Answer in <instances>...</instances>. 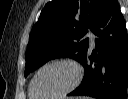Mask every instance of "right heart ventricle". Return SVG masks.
Segmentation results:
<instances>
[{
  "label": "right heart ventricle",
  "mask_w": 128,
  "mask_h": 99,
  "mask_svg": "<svg viewBox=\"0 0 128 99\" xmlns=\"http://www.w3.org/2000/svg\"><path fill=\"white\" fill-rule=\"evenodd\" d=\"M29 96H30V98H34V97H32V96L30 95V93H29Z\"/></svg>",
  "instance_id": "right-heart-ventricle-1"
}]
</instances>
